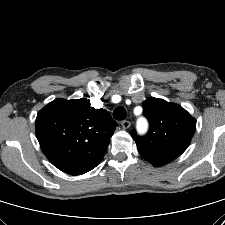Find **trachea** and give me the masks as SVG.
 <instances>
[{
	"mask_svg": "<svg viewBox=\"0 0 225 225\" xmlns=\"http://www.w3.org/2000/svg\"><path fill=\"white\" fill-rule=\"evenodd\" d=\"M113 117L116 120H124L126 118V110L124 107L119 106L113 111Z\"/></svg>",
	"mask_w": 225,
	"mask_h": 225,
	"instance_id": "1",
	"label": "trachea"
}]
</instances>
